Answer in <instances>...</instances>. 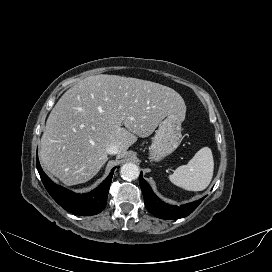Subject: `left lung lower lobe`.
Instances as JSON below:
<instances>
[{
  "label": "left lung lower lobe",
  "instance_id": "0a47b994",
  "mask_svg": "<svg viewBox=\"0 0 272 272\" xmlns=\"http://www.w3.org/2000/svg\"><path fill=\"white\" fill-rule=\"evenodd\" d=\"M139 182L144 196L145 206L150 213L161 219H179L191 214L201 203L200 200L185 205L173 206L161 201L152 191L149 184L139 176Z\"/></svg>",
  "mask_w": 272,
  "mask_h": 272
}]
</instances>
